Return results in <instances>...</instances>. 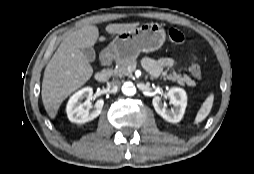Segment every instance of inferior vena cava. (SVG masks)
I'll return each instance as SVG.
<instances>
[{
    "mask_svg": "<svg viewBox=\"0 0 254 174\" xmlns=\"http://www.w3.org/2000/svg\"><path fill=\"white\" fill-rule=\"evenodd\" d=\"M120 81H118V80H112L111 82H109V87L111 88V89H113V90H115V89H118V87L120 86Z\"/></svg>",
    "mask_w": 254,
    "mask_h": 174,
    "instance_id": "inferior-vena-cava-1",
    "label": "inferior vena cava"
}]
</instances>
